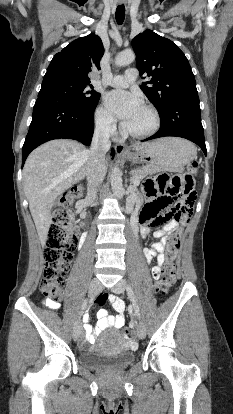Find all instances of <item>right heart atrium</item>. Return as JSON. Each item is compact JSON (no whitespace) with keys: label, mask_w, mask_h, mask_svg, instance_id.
<instances>
[{"label":"right heart atrium","mask_w":233,"mask_h":414,"mask_svg":"<svg viewBox=\"0 0 233 414\" xmlns=\"http://www.w3.org/2000/svg\"><path fill=\"white\" fill-rule=\"evenodd\" d=\"M94 123L96 130L103 135H110L114 132L115 120L103 106L96 107L94 111Z\"/></svg>","instance_id":"right-heart-atrium-1"}]
</instances>
